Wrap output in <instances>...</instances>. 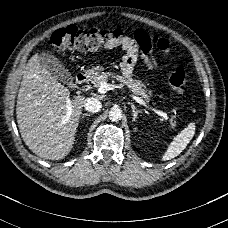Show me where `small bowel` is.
I'll return each mask as SVG.
<instances>
[{
	"label": "small bowel",
	"mask_w": 228,
	"mask_h": 228,
	"mask_svg": "<svg viewBox=\"0 0 228 228\" xmlns=\"http://www.w3.org/2000/svg\"><path fill=\"white\" fill-rule=\"evenodd\" d=\"M113 47H121L126 51L125 56L121 64L122 72L126 76H130L133 72L134 66L137 62L139 50L143 53V58L150 69H155L157 64L152 57V42L145 30H138L135 33V39L131 37H124L118 44L109 46V49Z\"/></svg>",
	"instance_id": "1"
}]
</instances>
